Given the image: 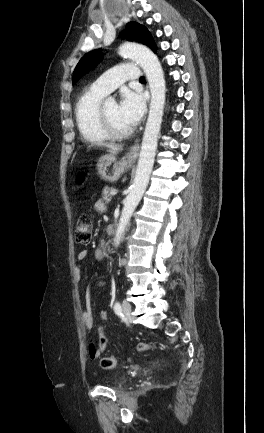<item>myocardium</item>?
<instances>
[{"label":"myocardium","instance_id":"f54148a6","mask_svg":"<svg viewBox=\"0 0 264 433\" xmlns=\"http://www.w3.org/2000/svg\"><path fill=\"white\" fill-rule=\"evenodd\" d=\"M99 119L103 130L108 135V137L113 139H125L132 135L134 128H129L127 130L121 131L116 129L111 123L109 116L106 112L105 104H101L99 108Z\"/></svg>","mask_w":264,"mask_h":433}]
</instances>
